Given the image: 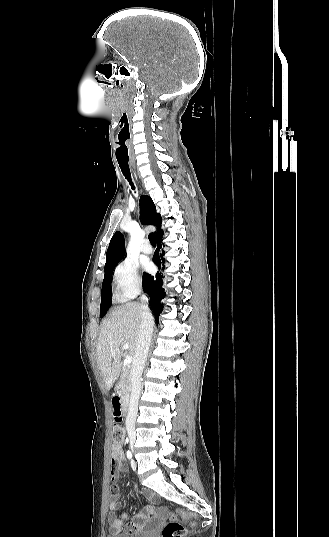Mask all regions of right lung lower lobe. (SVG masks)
<instances>
[{
	"label": "right lung lower lobe",
	"mask_w": 329,
	"mask_h": 537,
	"mask_svg": "<svg viewBox=\"0 0 329 537\" xmlns=\"http://www.w3.org/2000/svg\"><path fill=\"white\" fill-rule=\"evenodd\" d=\"M161 239H162V235L157 237L158 247L153 256V261L157 265L159 270L164 269V265H163L164 259L162 258V256L164 255V251L162 252L160 251V249L162 248ZM162 284H163V276L161 273L157 272L155 275L143 273V290L150 297L149 305L152 309L153 315L157 319L163 310V304H160V301L166 295V293L164 292V289L162 288Z\"/></svg>",
	"instance_id": "right-lung-lower-lobe-1"
}]
</instances>
